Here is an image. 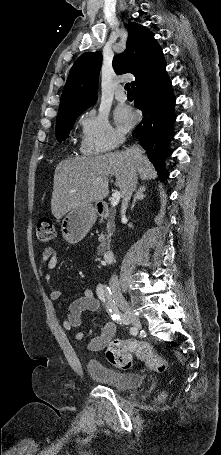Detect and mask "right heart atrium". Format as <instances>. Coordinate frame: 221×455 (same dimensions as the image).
<instances>
[{"label": "right heart atrium", "mask_w": 221, "mask_h": 455, "mask_svg": "<svg viewBox=\"0 0 221 455\" xmlns=\"http://www.w3.org/2000/svg\"><path fill=\"white\" fill-rule=\"evenodd\" d=\"M80 151L84 155H98L114 150L123 135L108 117L95 109L84 112L79 118Z\"/></svg>", "instance_id": "1"}]
</instances>
